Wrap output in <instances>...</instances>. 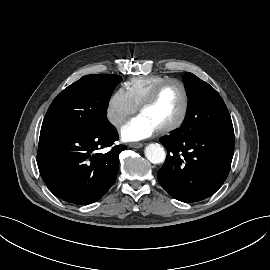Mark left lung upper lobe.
<instances>
[{"mask_svg":"<svg viewBox=\"0 0 270 270\" xmlns=\"http://www.w3.org/2000/svg\"><path fill=\"white\" fill-rule=\"evenodd\" d=\"M183 81L190 100L184 122L175 130L177 133H184L190 129L233 130L227 107L214 88L192 73H187Z\"/></svg>","mask_w":270,"mask_h":270,"instance_id":"1","label":"left lung upper lobe"}]
</instances>
